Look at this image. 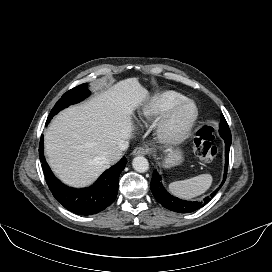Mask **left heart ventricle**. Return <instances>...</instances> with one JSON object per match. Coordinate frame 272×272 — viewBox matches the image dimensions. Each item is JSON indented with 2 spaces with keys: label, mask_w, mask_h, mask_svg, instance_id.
<instances>
[{
  "label": "left heart ventricle",
  "mask_w": 272,
  "mask_h": 272,
  "mask_svg": "<svg viewBox=\"0 0 272 272\" xmlns=\"http://www.w3.org/2000/svg\"><path fill=\"white\" fill-rule=\"evenodd\" d=\"M192 115H193V108L191 106L182 107L175 114L171 123V128L173 130H179L183 128L189 122Z\"/></svg>",
  "instance_id": "left-heart-ventricle-1"
}]
</instances>
